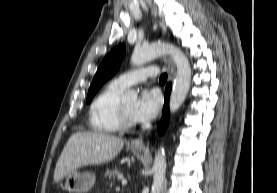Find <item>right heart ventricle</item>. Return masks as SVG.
Segmentation results:
<instances>
[{
  "instance_id": "1",
  "label": "right heart ventricle",
  "mask_w": 277,
  "mask_h": 193,
  "mask_svg": "<svg viewBox=\"0 0 277 193\" xmlns=\"http://www.w3.org/2000/svg\"><path fill=\"white\" fill-rule=\"evenodd\" d=\"M123 90L111 82L94 98L89 108V127L93 132L115 134L121 130L118 108Z\"/></svg>"
}]
</instances>
